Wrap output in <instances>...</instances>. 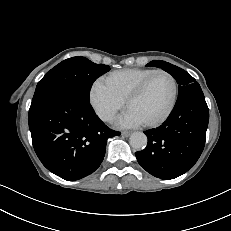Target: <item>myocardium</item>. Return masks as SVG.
I'll list each match as a JSON object with an SVG mask.
<instances>
[{
  "instance_id": "1",
  "label": "myocardium",
  "mask_w": 231,
  "mask_h": 231,
  "mask_svg": "<svg viewBox=\"0 0 231 231\" xmlns=\"http://www.w3.org/2000/svg\"><path fill=\"white\" fill-rule=\"evenodd\" d=\"M165 74L166 76H168L172 83H173V96H172V100L170 103V106L168 107L167 111L158 119L153 120V121H149V122H144L143 125L145 127H157L162 125L165 121H167L169 119V117L172 115L177 101H178V95H179V87H178V82L177 79L175 78V76L170 73L169 71H166L164 69H156L153 70L149 75H147L134 89L133 91L127 96L126 100H125V106L126 108H128V106L130 105V103L132 101H134L135 99H137L144 91L145 87L147 86V84L149 83V81L151 80V78L153 76H155L156 74Z\"/></svg>"
}]
</instances>
